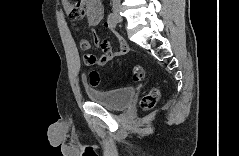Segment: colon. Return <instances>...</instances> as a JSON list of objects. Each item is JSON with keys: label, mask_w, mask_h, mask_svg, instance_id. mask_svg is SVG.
<instances>
[{"label": "colon", "mask_w": 239, "mask_h": 156, "mask_svg": "<svg viewBox=\"0 0 239 156\" xmlns=\"http://www.w3.org/2000/svg\"><path fill=\"white\" fill-rule=\"evenodd\" d=\"M132 79L136 82L142 81L144 79V69L142 66H134L131 71ZM89 83L92 86H97L100 83V76L98 72L91 71L89 73ZM160 97L159 91L157 89H151L143 98L141 99L140 105L143 109H152L158 102Z\"/></svg>", "instance_id": "colon-1"}]
</instances>
